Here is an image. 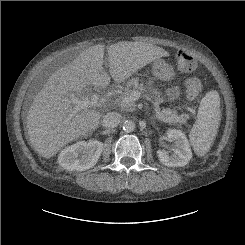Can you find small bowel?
<instances>
[{
    "instance_id": "1",
    "label": "small bowel",
    "mask_w": 245,
    "mask_h": 245,
    "mask_svg": "<svg viewBox=\"0 0 245 245\" xmlns=\"http://www.w3.org/2000/svg\"><path fill=\"white\" fill-rule=\"evenodd\" d=\"M178 94V89L176 87L170 88L167 90V96L169 98H174Z\"/></svg>"
}]
</instances>
